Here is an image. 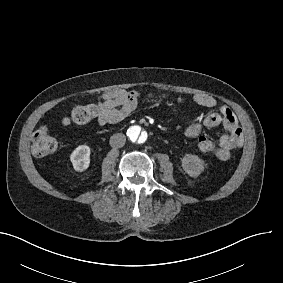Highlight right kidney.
I'll list each match as a JSON object with an SVG mask.
<instances>
[{"instance_id": "obj_1", "label": "right kidney", "mask_w": 283, "mask_h": 283, "mask_svg": "<svg viewBox=\"0 0 283 283\" xmlns=\"http://www.w3.org/2000/svg\"><path fill=\"white\" fill-rule=\"evenodd\" d=\"M70 160L75 171L83 172L90 164V148L87 145L78 146L71 154Z\"/></svg>"}]
</instances>
